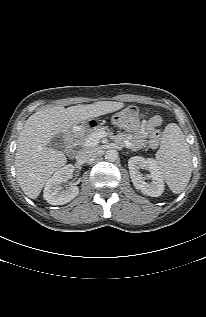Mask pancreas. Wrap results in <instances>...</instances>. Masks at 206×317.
<instances>
[{
  "label": "pancreas",
  "mask_w": 206,
  "mask_h": 317,
  "mask_svg": "<svg viewBox=\"0 0 206 317\" xmlns=\"http://www.w3.org/2000/svg\"><path fill=\"white\" fill-rule=\"evenodd\" d=\"M114 127H98L95 129L81 130L75 139L76 145H84L89 137H96L98 134H114Z\"/></svg>",
  "instance_id": "obj_1"
}]
</instances>
